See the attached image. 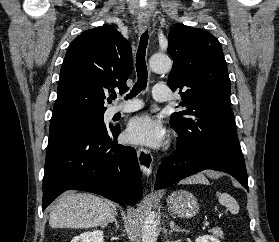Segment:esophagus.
<instances>
[{"label": "esophagus", "mask_w": 279, "mask_h": 242, "mask_svg": "<svg viewBox=\"0 0 279 242\" xmlns=\"http://www.w3.org/2000/svg\"><path fill=\"white\" fill-rule=\"evenodd\" d=\"M148 27V21H139V32H144ZM139 166L143 174L149 177L152 173L153 157L151 152L143 147H139L136 150Z\"/></svg>", "instance_id": "1"}]
</instances>
